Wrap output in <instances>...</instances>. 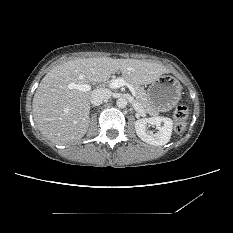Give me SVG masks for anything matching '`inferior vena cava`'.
<instances>
[{
    "label": "inferior vena cava",
    "instance_id": "obj_1",
    "mask_svg": "<svg viewBox=\"0 0 233 233\" xmlns=\"http://www.w3.org/2000/svg\"><path fill=\"white\" fill-rule=\"evenodd\" d=\"M111 91L106 88L95 89L91 94L90 102L92 105L98 106L106 99L111 98Z\"/></svg>",
    "mask_w": 233,
    "mask_h": 233
}]
</instances>
